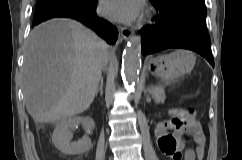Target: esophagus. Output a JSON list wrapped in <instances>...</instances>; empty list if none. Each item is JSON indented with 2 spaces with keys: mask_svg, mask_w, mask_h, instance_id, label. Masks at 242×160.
<instances>
[{
  "mask_svg": "<svg viewBox=\"0 0 242 160\" xmlns=\"http://www.w3.org/2000/svg\"><path fill=\"white\" fill-rule=\"evenodd\" d=\"M120 34L125 40H130L133 36V31L126 27H122L120 29Z\"/></svg>",
  "mask_w": 242,
  "mask_h": 160,
  "instance_id": "obj_1",
  "label": "esophagus"
}]
</instances>
